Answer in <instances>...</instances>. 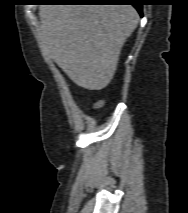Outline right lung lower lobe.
<instances>
[{"mask_svg":"<svg viewBox=\"0 0 188 213\" xmlns=\"http://www.w3.org/2000/svg\"><path fill=\"white\" fill-rule=\"evenodd\" d=\"M48 2H78V3H125L132 2L133 6L142 15V4L138 0H49Z\"/></svg>","mask_w":188,"mask_h":213,"instance_id":"1","label":"right lung lower lobe"}]
</instances>
